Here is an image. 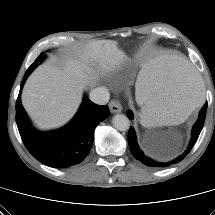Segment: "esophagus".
<instances>
[{"mask_svg": "<svg viewBox=\"0 0 215 215\" xmlns=\"http://www.w3.org/2000/svg\"><path fill=\"white\" fill-rule=\"evenodd\" d=\"M109 109L112 113H120L122 111V106L118 100H112L109 103Z\"/></svg>", "mask_w": 215, "mask_h": 215, "instance_id": "1", "label": "esophagus"}]
</instances>
